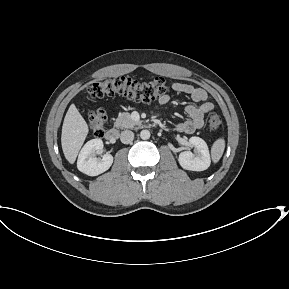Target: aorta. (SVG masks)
I'll return each mask as SVG.
<instances>
[{
	"label": "aorta",
	"mask_w": 289,
	"mask_h": 289,
	"mask_svg": "<svg viewBox=\"0 0 289 289\" xmlns=\"http://www.w3.org/2000/svg\"><path fill=\"white\" fill-rule=\"evenodd\" d=\"M140 137H141V139H143V140H147V139L150 138V132H149L148 130H142V131L140 132Z\"/></svg>",
	"instance_id": "1"
}]
</instances>
